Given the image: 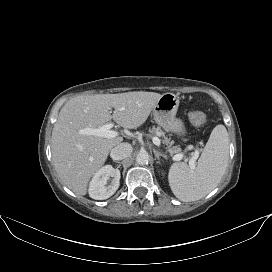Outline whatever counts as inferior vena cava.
Masks as SVG:
<instances>
[{"instance_id":"1","label":"inferior vena cava","mask_w":272,"mask_h":272,"mask_svg":"<svg viewBox=\"0 0 272 272\" xmlns=\"http://www.w3.org/2000/svg\"><path fill=\"white\" fill-rule=\"evenodd\" d=\"M132 150L129 143H120L111 150L110 156L113 160H123L131 155Z\"/></svg>"}]
</instances>
